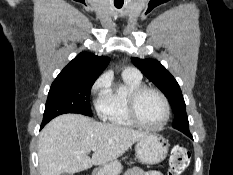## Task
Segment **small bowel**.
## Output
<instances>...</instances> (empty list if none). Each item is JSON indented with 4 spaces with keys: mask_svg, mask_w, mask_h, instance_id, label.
<instances>
[{
    "mask_svg": "<svg viewBox=\"0 0 233 175\" xmlns=\"http://www.w3.org/2000/svg\"><path fill=\"white\" fill-rule=\"evenodd\" d=\"M124 175H163V174L157 170L144 171L139 168H132L126 171Z\"/></svg>",
    "mask_w": 233,
    "mask_h": 175,
    "instance_id": "c3829d8e",
    "label": "small bowel"
}]
</instances>
